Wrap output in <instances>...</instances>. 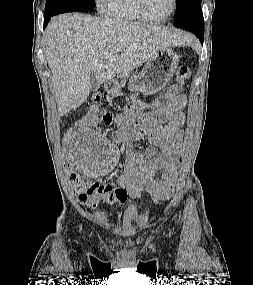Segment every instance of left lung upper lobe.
<instances>
[{
  "mask_svg": "<svg viewBox=\"0 0 253 285\" xmlns=\"http://www.w3.org/2000/svg\"><path fill=\"white\" fill-rule=\"evenodd\" d=\"M199 11H201V0H177L175 24Z\"/></svg>",
  "mask_w": 253,
  "mask_h": 285,
  "instance_id": "obj_1",
  "label": "left lung upper lobe"
}]
</instances>
